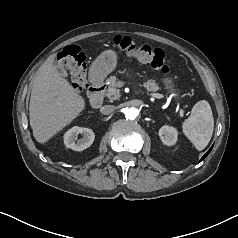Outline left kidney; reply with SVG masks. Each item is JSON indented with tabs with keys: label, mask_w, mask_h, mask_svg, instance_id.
<instances>
[{
	"label": "left kidney",
	"mask_w": 238,
	"mask_h": 238,
	"mask_svg": "<svg viewBox=\"0 0 238 238\" xmlns=\"http://www.w3.org/2000/svg\"><path fill=\"white\" fill-rule=\"evenodd\" d=\"M159 136L163 144L172 146L177 142L178 132L174 127L165 125L160 128Z\"/></svg>",
	"instance_id": "left-kidney-1"
}]
</instances>
